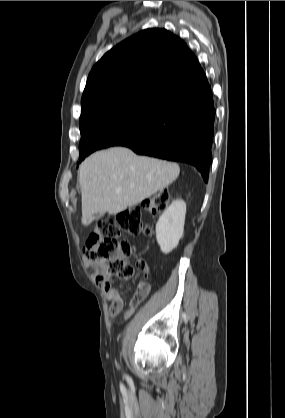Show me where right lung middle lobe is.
<instances>
[{
    "instance_id": "1",
    "label": "right lung middle lobe",
    "mask_w": 285,
    "mask_h": 418,
    "mask_svg": "<svg viewBox=\"0 0 285 418\" xmlns=\"http://www.w3.org/2000/svg\"><path fill=\"white\" fill-rule=\"evenodd\" d=\"M167 106L146 100L108 105L80 119L79 162L92 152L116 146L155 121Z\"/></svg>"
}]
</instances>
